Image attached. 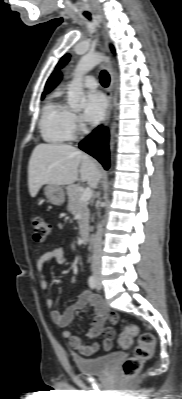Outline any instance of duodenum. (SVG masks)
Here are the masks:
<instances>
[{"mask_svg":"<svg viewBox=\"0 0 182 399\" xmlns=\"http://www.w3.org/2000/svg\"><path fill=\"white\" fill-rule=\"evenodd\" d=\"M83 243H87L89 240V233L88 232H83L81 235Z\"/></svg>","mask_w":182,"mask_h":399,"instance_id":"obj_1","label":"duodenum"}]
</instances>
